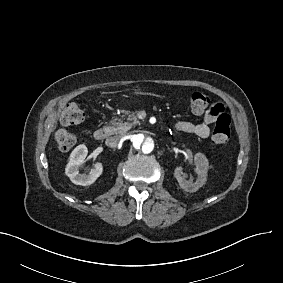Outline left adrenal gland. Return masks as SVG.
I'll return each mask as SVG.
<instances>
[{
  "instance_id": "1",
  "label": "left adrenal gland",
  "mask_w": 283,
  "mask_h": 283,
  "mask_svg": "<svg viewBox=\"0 0 283 283\" xmlns=\"http://www.w3.org/2000/svg\"><path fill=\"white\" fill-rule=\"evenodd\" d=\"M171 144L176 145L177 143L176 142H172Z\"/></svg>"
}]
</instances>
